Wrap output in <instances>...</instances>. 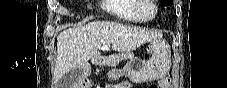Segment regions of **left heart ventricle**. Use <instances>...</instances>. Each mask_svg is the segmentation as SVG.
I'll return each instance as SVG.
<instances>
[{
	"label": "left heart ventricle",
	"mask_w": 227,
	"mask_h": 88,
	"mask_svg": "<svg viewBox=\"0 0 227 88\" xmlns=\"http://www.w3.org/2000/svg\"><path fill=\"white\" fill-rule=\"evenodd\" d=\"M150 12H152V10L150 8H145L144 9V13L145 14H149Z\"/></svg>",
	"instance_id": "b2bd125f"
}]
</instances>
